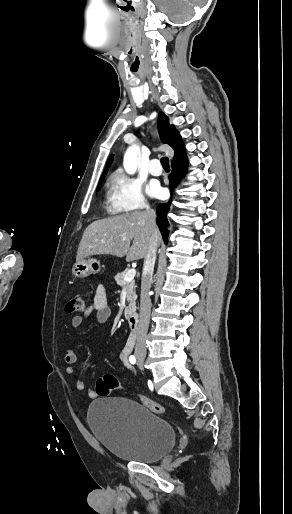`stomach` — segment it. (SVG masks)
I'll list each match as a JSON object with an SVG mask.
<instances>
[{
    "mask_svg": "<svg viewBox=\"0 0 292 514\" xmlns=\"http://www.w3.org/2000/svg\"><path fill=\"white\" fill-rule=\"evenodd\" d=\"M100 270L101 264L99 260H93V258L85 260V258H81V260L75 262L72 268V274L75 278H86V276H90V274H98Z\"/></svg>",
    "mask_w": 292,
    "mask_h": 514,
    "instance_id": "stomach-1",
    "label": "stomach"
}]
</instances>
